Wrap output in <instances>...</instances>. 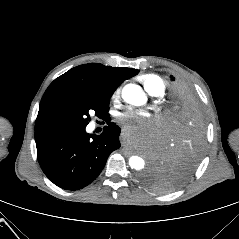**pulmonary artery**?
I'll return each instance as SVG.
<instances>
[{
  "label": "pulmonary artery",
  "mask_w": 239,
  "mask_h": 239,
  "mask_svg": "<svg viewBox=\"0 0 239 239\" xmlns=\"http://www.w3.org/2000/svg\"><path fill=\"white\" fill-rule=\"evenodd\" d=\"M163 91H164V89L159 90V91H157V92L152 93V95H155V96L162 95V94H163Z\"/></svg>",
  "instance_id": "obj_1"
}]
</instances>
